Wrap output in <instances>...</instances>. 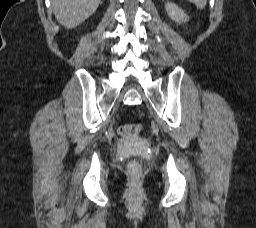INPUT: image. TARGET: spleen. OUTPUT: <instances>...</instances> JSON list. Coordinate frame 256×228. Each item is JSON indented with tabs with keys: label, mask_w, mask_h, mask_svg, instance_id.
Listing matches in <instances>:
<instances>
[{
	"label": "spleen",
	"mask_w": 256,
	"mask_h": 228,
	"mask_svg": "<svg viewBox=\"0 0 256 228\" xmlns=\"http://www.w3.org/2000/svg\"><path fill=\"white\" fill-rule=\"evenodd\" d=\"M187 1L194 3L200 9H203L207 3V0H187Z\"/></svg>",
	"instance_id": "spleen-1"
}]
</instances>
